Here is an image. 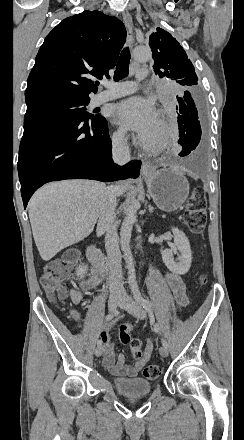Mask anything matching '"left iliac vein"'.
I'll use <instances>...</instances> for the list:
<instances>
[{"instance_id":"1","label":"left iliac vein","mask_w":244,"mask_h":440,"mask_svg":"<svg viewBox=\"0 0 244 440\" xmlns=\"http://www.w3.org/2000/svg\"><path fill=\"white\" fill-rule=\"evenodd\" d=\"M120 307L133 314L139 319H144L146 317L145 310L130 296L124 295L121 297ZM159 353L162 357L168 356V349L164 346L159 348Z\"/></svg>"}]
</instances>
